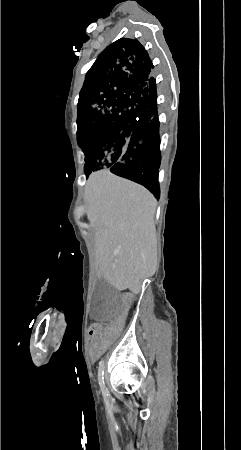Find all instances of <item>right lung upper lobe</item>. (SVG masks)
<instances>
[{"instance_id": "cb5924a9", "label": "right lung upper lobe", "mask_w": 241, "mask_h": 450, "mask_svg": "<svg viewBox=\"0 0 241 450\" xmlns=\"http://www.w3.org/2000/svg\"><path fill=\"white\" fill-rule=\"evenodd\" d=\"M153 67L147 51L137 40L121 38L98 56L85 82L113 85L121 96L145 100L146 82Z\"/></svg>"}]
</instances>
